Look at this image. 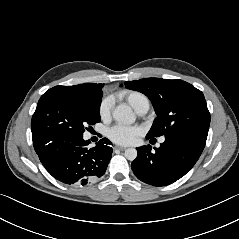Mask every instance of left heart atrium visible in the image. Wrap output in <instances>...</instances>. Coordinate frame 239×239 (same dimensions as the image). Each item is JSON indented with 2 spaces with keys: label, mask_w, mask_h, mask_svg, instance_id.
<instances>
[{
  "label": "left heart atrium",
  "mask_w": 239,
  "mask_h": 239,
  "mask_svg": "<svg viewBox=\"0 0 239 239\" xmlns=\"http://www.w3.org/2000/svg\"><path fill=\"white\" fill-rule=\"evenodd\" d=\"M141 128L138 126H129L116 124L108 131V137L120 145H129L140 135Z\"/></svg>",
  "instance_id": "obj_1"
}]
</instances>
